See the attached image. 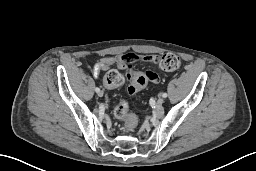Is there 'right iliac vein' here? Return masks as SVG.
<instances>
[{"label":"right iliac vein","instance_id":"1","mask_svg":"<svg viewBox=\"0 0 256 171\" xmlns=\"http://www.w3.org/2000/svg\"><path fill=\"white\" fill-rule=\"evenodd\" d=\"M98 96L102 97L103 96V91H99Z\"/></svg>","mask_w":256,"mask_h":171}]
</instances>
